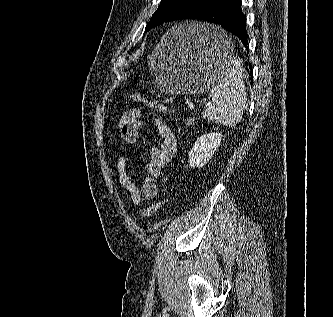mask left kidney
Masks as SVG:
<instances>
[{"label": "left kidney", "mask_w": 333, "mask_h": 317, "mask_svg": "<svg viewBox=\"0 0 333 317\" xmlns=\"http://www.w3.org/2000/svg\"><path fill=\"white\" fill-rule=\"evenodd\" d=\"M222 140V133H208L200 136L189 152V166L201 168L213 156Z\"/></svg>", "instance_id": "left-kidney-1"}]
</instances>
